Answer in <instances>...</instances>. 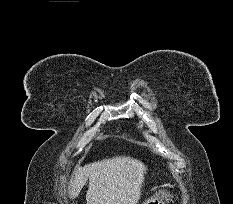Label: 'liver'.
Returning <instances> with one entry per match:
<instances>
[{"instance_id": "liver-1", "label": "liver", "mask_w": 233, "mask_h": 204, "mask_svg": "<svg viewBox=\"0 0 233 204\" xmlns=\"http://www.w3.org/2000/svg\"><path fill=\"white\" fill-rule=\"evenodd\" d=\"M146 171L144 163L130 156L77 167L70 180L69 196L75 199L89 179L87 204H137Z\"/></svg>"}]
</instances>
